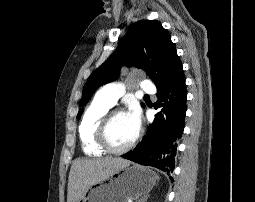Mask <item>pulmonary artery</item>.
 I'll return each mask as SVG.
<instances>
[{"label":"pulmonary artery","mask_w":255,"mask_h":202,"mask_svg":"<svg viewBox=\"0 0 255 202\" xmlns=\"http://www.w3.org/2000/svg\"><path fill=\"white\" fill-rule=\"evenodd\" d=\"M140 89L145 93L152 94L155 92L154 85L149 80H142L139 83ZM125 87L120 82H112L104 85L98 92L97 97L113 106L117 100L124 94Z\"/></svg>","instance_id":"obj_1"}]
</instances>
